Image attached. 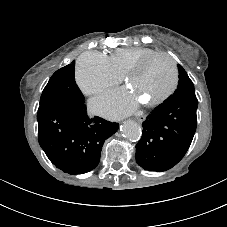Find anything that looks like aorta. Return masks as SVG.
Instances as JSON below:
<instances>
[{"instance_id": "1", "label": "aorta", "mask_w": 227, "mask_h": 227, "mask_svg": "<svg viewBox=\"0 0 227 227\" xmlns=\"http://www.w3.org/2000/svg\"><path fill=\"white\" fill-rule=\"evenodd\" d=\"M123 136L131 141H138L141 137V127L133 120H127L121 126Z\"/></svg>"}]
</instances>
